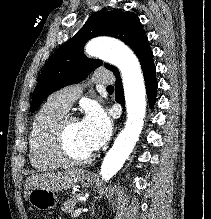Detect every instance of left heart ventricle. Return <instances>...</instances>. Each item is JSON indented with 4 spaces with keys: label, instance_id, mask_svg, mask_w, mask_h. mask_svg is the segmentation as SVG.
I'll return each mask as SVG.
<instances>
[{
    "label": "left heart ventricle",
    "instance_id": "1",
    "mask_svg": "<svg viewBox=\"0 0 211 219\" xmlns=\"http://www.w3.org/2000/svg\"><path fill=\"white\" fill-rule=\"evenodd\" d=\"M67 143L70 151L78 157H84L91 153L80 131V122L71 120L67 130Z\"/></svg>",
    "mask_w": 211,
    "mask_h": 219
}]
</instances>
